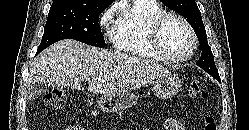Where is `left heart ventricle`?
Here are the masks:
<instances>
[{
    "mask_svg": "<svg viewBox=\"0 0 249 130\" xmlns=\"http://www.w3.org/2000/svg\"><path fill=\"white\" fill-rule=\"evenodd\" d=\"M162 44L165 51L173 57L186 55L191 46L188 31L177 20H170L162 31Z\"/></svg>",
    "mask_w": 249,
    "mask_h": 130,
    "instance_id": "left-heart-ventricle-1",
    "label": "left heart ventricle"
}]
</instances>
